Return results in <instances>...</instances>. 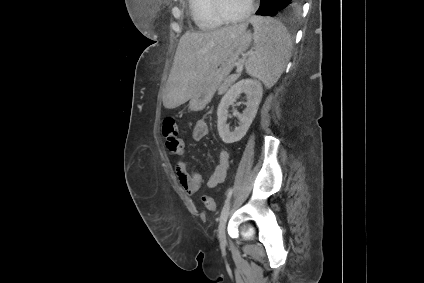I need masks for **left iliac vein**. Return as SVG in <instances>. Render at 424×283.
Instances as JSON below:
<instances>
[{
  "label": "left iliac vein",
  "mask_w": 424,
  "mask_h": 283,
  "mask_svg": "<svg viewBox=\"0 0 424 283\" xmlns=\"http://www.w3.org/2000/svg\"><path fill=\"white\" fill-rule=\"evenodd\" d=\"M230 206L231 204L228 201L225 204L224 208L222 209V212L219 217L218 238H219L221 246L223 247L226 245L225 228H226V222L228 220L229 213H230Z\"/></svg>",
  "instance_id": "obj_1"
}]
</instances>
